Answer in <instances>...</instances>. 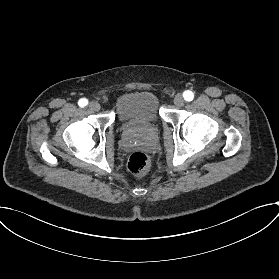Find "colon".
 I'll use <instances>...</instances> for the list:
<instances>
[{
  "instance_id": "colon-1",
  "label": "colon",
  "mask_w": 279,
  "mask_h": 279,
  "mask_svg": "<svg viewBox=\"0 0 279 279\" xmlns=\"http://www.w3.org/2000/svg\"><path fill=\"white\" fill-rule=\"evenodd\" d=\"M150 167V160L146 154L135 152L130 155L127 162V169L132 175L145 174Z\"/></svg>"
}]
</instances>
